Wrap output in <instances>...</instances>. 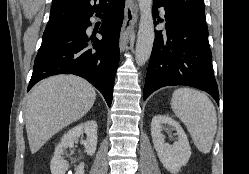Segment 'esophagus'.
<instances>
[{
	"label": "esophagus",
	"instance_id": "esophagus-1",
	"mask_svg": "<svg viewBox=\"0 0 249 174\" xmlns=\"http://www.w3.org/2000/svg\"><path fill=\"white\" fill-rule=\"evenodd\" d=\"M138 6L135 0H126L125 18L121 28L120 50L123 51L127 46L132 34L135 23L137 21Z\"/></svg>",
	"mask_w": 249,
	"mask_h": 174
}]
</instances>
